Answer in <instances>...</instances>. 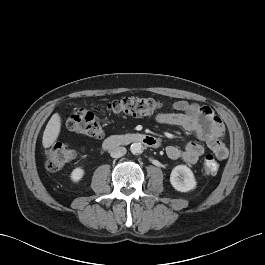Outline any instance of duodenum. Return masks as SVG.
<instances>
[{
	"label": "duodenum",
	"instance_id": "410a0bca",
	"mask_svg": "<svg viewBox=\"0 0 265 265\" xmlns=\"http://www.w3.org/2000/svg\"><path fill=\"white\" fill-rule=\"evenodd\" d=\"M134 143H141L151 148H158L160 141L158 138L142 133H130L125 135H112L103 142L105 150H112L120 146H126Z\"/></svg>",
	"mask_w": 265,
	"mask_h": 265
}]
</instances>
